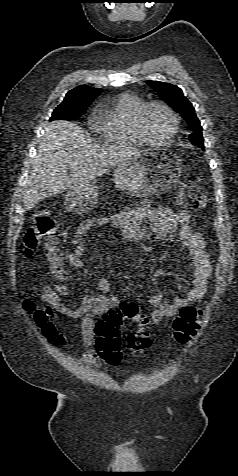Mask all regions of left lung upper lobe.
<instances>
[{"mask_svg":"<svg viewBox=\"0 0 238 476\" xmlns=\"http://www.w3.org/2000/svg\"><path fill=\"white\" fill-rule=\"evenodd\" d=\"M148 84L159 94L160 98L172 106L175 111L180 113L193 128V131L190 134L192 144L204 149L200 121L195 114L194 107L183 95L182 90L173 84L160 81H149Z\"/></svg>","mask_w":238,"mask_h":476,"instance_id":"5c2ea615","label":"left lung upper lobe"}]
</instances>
